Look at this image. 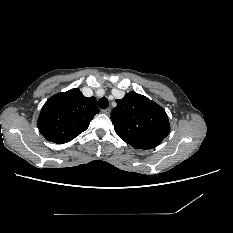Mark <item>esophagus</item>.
Here are the masks:
<instances>
[{
	"instance_id": "obj_1",
	"label": "esophagus",
	"mask_w": 233,
	"mask_h": 233,
	"mask_svg": "<svg viewBox=\"0 0 233 233\" xmlns=\"http://www.w3.org/2000/svg\"><path fill=\"white\" fill-rule=\"evenodd\" d=\"M103 113H105L106 115H109L110 112H111V109L110 108H107L105 110H102Z\"/></svg>"
}]
</instances>
